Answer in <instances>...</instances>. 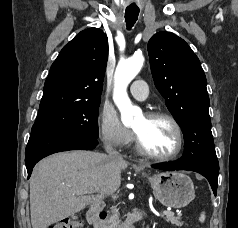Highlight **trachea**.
Here are the masks:
<instances>
[{
    "instance_id": "1",
    "label": "trachea",
    "mask_w": 238,
    "mask_h": 228,
    "mask_svg": "<svg viewBox=\"0 0 238 228\" xmlns=\"http://www.w3.org/2000/svg\"><path fill=\"white\" fill-rule=\"evenodd\" d=\"M138 15H139V10L126 9L125 20H126V26L128 29H131L133 27V25L137 21Z\"/></svg>"
}]
</instances>
